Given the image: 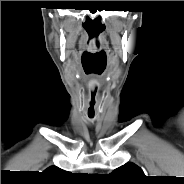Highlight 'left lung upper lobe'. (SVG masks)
Returning a JSON list of instances; mask_svg holds the SVG:
<instances>
[{"mask_svg": "<svg viewBox=\"0 0 184 184\" xmlns=\"http://www.w3.org/2000/svg\"><path fill=\"white\" fill-rule=\"evenodd\" d=\"M112 176L122 184H138L144 179V173L133 163H126L125 165L115 169Z\"/></svg>", "mask_w": 184, "mask_h": 184, "instance_id": "left-lung-upper-lobe-1", "label": "left lung upper lobe"}]
</instances>
